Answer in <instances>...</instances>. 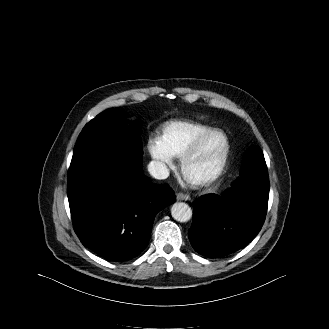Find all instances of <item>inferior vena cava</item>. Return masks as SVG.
Returning <instances> with one entry per match:
<instances>
[{"instance_id": "602c4592", "label": "inferior vena cava", "mask_w": 329, "mask_h": 329, "mask_svg": "<svg viewBox=\"0 0 329 329\" xmlns=\"http://www.w3.org/2000/svg\"><path fill=\"white\" fill-rule=\"evenodd\" d=\"M148 171L155 179H166L169 176V169L160 161H151L148 164Z\"/></svg>"}]
</instances>
